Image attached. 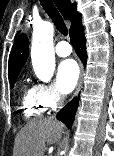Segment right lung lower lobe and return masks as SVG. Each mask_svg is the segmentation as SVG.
I'll list each match as a JSON object with an SVG mask.
<instances>
[{
    "label": "right lung lower lobe",
    "mask_w": 114,
    "mask_h": 156,
    "mask_svg": "<svg viewBox=\"0 0 114 156\" xmlns=\"http://www.w3.org/2000/svg\"><path fill=\"white\" fill-rule=\"evenodd\" d=\"M71 43L77 53V55L82 60L83 64H86L87 54H86V46H85V38H84V29L80 24L75 27L70 32ZM79 97L73 99L69 104H67L60 112L57 114V119L62 121L68 128H71L76 110L78 107Z\"/></svg>",
    "instance_id": "right-lung-lower-lobe-1"
}]
</instances>
